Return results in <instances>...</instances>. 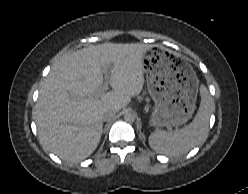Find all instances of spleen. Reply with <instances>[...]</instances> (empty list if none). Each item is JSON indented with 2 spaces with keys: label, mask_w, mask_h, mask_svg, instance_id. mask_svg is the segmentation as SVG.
<instances>
[{
  "label": "spleen",
  "mask_w": 248,
  "mask_h": 194,
  "mask_svg": "<svg viewBox=\"0 0 248 194\" xmlns=\"http://www.w3.org/2000/svg\"><path fill=\"white\" fill-rule=\"evenodd\" d=\"M201 102L193 121L180 130L156 131L149 136L150 147L160 154L180 156L205 140L214 103L208 89L201 85Z\"/></svg>",
  "instance_id": "obj_1"
}]
</instances>
